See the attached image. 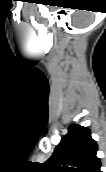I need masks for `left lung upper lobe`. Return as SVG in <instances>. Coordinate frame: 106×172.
<instances>
[{"label":"left lung upper lobe","mask_w":106,"mask_h":172,"mask_svg":"<svg viewBox=\"0 0 106 172\" xmlns=\"http://www.w3.org/2000/svg\"><path fill=\"white\" fill-rule=\"evenodd\" d=\"M97 144L87 127L72 124L52 156L43 163L47 172H100L101 162L96 156ZM61 164L77 166L68 167Z\"/></svg>","instance_id":"obj_1"}]
</instances>
